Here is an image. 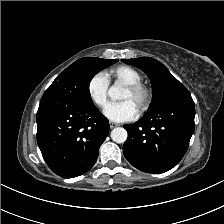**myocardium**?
Listing matches in <instances>:
<instances>
[{"label":"myocardium","instance_id":"1","mask_svg":"<svg viewBox=\"0 0 224 224\" xmlns=\"http://www.w3.org/2000/svg\"><path fill=\"white\" fill-rule=\"evenodd\" d=\"M125 88L138 99L139 111L144 112L149 108L153 93L148 86L142 83H136L125 85Z\"/></svg>","mask_w":224,"mask_h":224}]
</instances>
